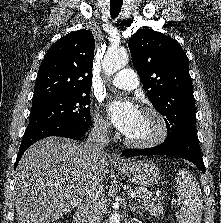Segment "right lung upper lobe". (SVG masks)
Returning <instances> with one entry per match:
<instances>
[{"label":"right lung upper lobe","mask_w":221,"mask_h":223,"mask_svg":"<svg viewBox=\"0 0 221 223\" xmlns=\"http://www.w3.org/2000/svg\"><path fill=\"white\" fill-rule=\"evenodd\" d=\"M94 48L93 34L85 29L56 41L39 68L33 101L90 92Z\"/></svg>","instance_id":"right-lung-upper-lobe-1"}]
</instances>
